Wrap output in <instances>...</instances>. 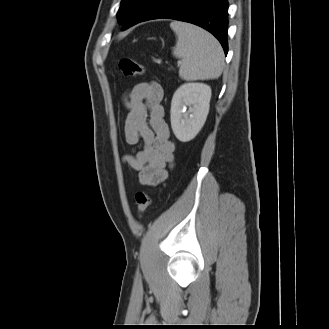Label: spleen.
Wrapping results in <instances>:
<instances>
[{
  "instance_id": "spleen-1",
  "label": "spleen",
  "mask_w": 329,
  "mask_h": 329,
  "mask_svg": "<svg viewBox=\"0 0 329 329\" xmlns=\"http://www.w3.org/2000/svg\"><path fill=\"white\" fill-rule=\"evenodd\" d=\"M177 36L173 54L182 59L179 76L184 80L217 79L223 71L224 54L213 35L195 25L173 21Z\"/></svg>"
}]
</instances>
